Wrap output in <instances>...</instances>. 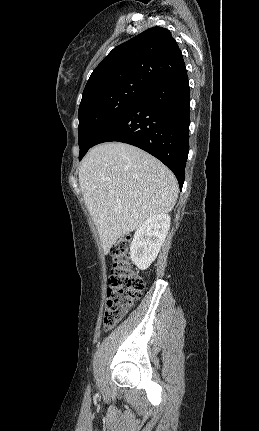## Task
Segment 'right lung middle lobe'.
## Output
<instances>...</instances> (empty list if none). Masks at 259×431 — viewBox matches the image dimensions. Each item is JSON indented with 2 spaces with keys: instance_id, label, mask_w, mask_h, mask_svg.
<instances>
[{
  "instance_id": "right-lung-middle-lobe-1",
  "label": "right lung middle lobe",
  "mask_w": 259,
  "mask_h": 431,
  "mask_svg": "<svg viewBox=\"0 0 259 431\" xmlns=\"http://www.w3.org/2000/svg\"><path fill=\"white\" fill-rule=\"evenodd\" d=\"M148 89L141 85H123L88 96L81 101L78 118L79 160L97 137Z\"/></svg>"
}]
</instances>
